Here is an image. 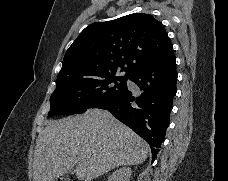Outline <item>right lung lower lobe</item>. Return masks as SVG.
<instances>
[{
  "label": "right lung lower lobe",
  "instance_id": "98d812e1",
  "mask_svg": "<svg viewBox=\"0 0 228 181\" xmlns=\"http://www.w3.org/2000/svg\"><path fill=\"white\" fill-rule=\"evenodd\" d=\"M129 79L136 86L127 87L123 96L102 109L109 110L145 139L154 159L165 137L176 94L177 72L173 48L142 65Z\"/></svg>",
  "mask_w": 228,
  "mask_h": 181
}]
</instances>
